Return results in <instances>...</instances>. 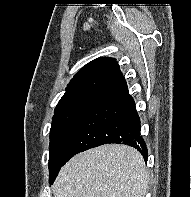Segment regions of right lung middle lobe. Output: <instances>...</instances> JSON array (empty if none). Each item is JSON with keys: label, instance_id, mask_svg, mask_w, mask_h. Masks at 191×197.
<instances>
[{"label": "right lung middle lobe", "instance_id": "right-lung-middle-lobe-1", "mask_svg": "<svg viewBox=\"0 0 191 197\" xmlns=\"http://www.w3.org/2000/svg\"><path fill=\"white\" fill-rule=\"evenodd\" d=\"M93 107H82L55 114L50 131L49 181L52 184Z\"/></svg>", "mask_w": 191, "mask_h": 197}]
</instances>
